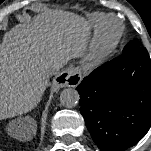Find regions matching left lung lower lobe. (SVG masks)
Returning a JSON list of instances; mask_svg holds the SVG:
<instances>
[{
    "label": "left lung lower lobe",
    "instance_id": "left-lung-lower-lobe-1",
    "mask_svg": "<svg viewBox=\"0 0 151 151\" xmlns=\"http://www.w3.org/2000/svg\"><path fill=\"white\" fill-rule=\"evenodd\" d=\"M80 112L102 151L137 144L151 126V59L146 48L123 53L95 69L76 88Z\"/></svg>",
    "mask_w": 151,
    "mask_h": 151
}]
</instances>
